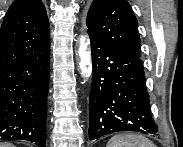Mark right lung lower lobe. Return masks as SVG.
Instances as JSON below:
<instances>
[{
	"mask_svg": "<svg viewBox=\"0 0 183 147\" xmlns=\"http://www.w3.org/2000/svg\"><path fill=\"white\" fill-rule=\"evenodd\" d=\"M50 49L0 70V140L46 144Z\"/></svg>",
	"mask_w": 183,
	"mask_h": 147,
	"instance_id": "98d812e1",
	"label": "right lung lower lobe"
}]
</instances>
